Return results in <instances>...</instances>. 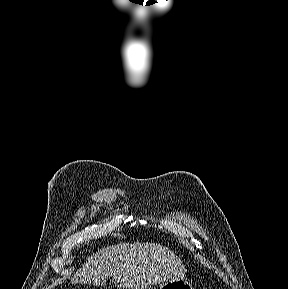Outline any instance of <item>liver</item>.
<instances>
[{"label": "liver", "mask_w": 288, "mask_h": 289, "mask_svg": "<svg viewBox=\"0 0 288 289\" xmlns=\"http://www.w3.org/2000/svg\"><path fill=\"white\" fill-rule=\"evenodd\" d=\"M185 268L167 247L156 243H118L89 257L71 278L72 284L104 285L112 277L119 288L145 289L182 279Z\"/></svg>", "instance_id": "liver-1"}]
</instances>
